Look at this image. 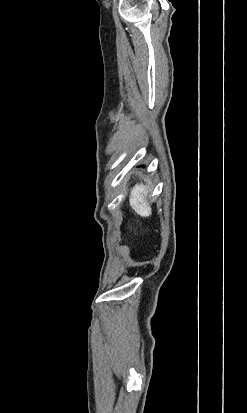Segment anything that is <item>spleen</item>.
I'll return each mask as SVG.
<instances>
[{"label":"spleen","instance_id":"obj_1","mask_svg":"<svg viewBox=\"0 0 247 413\" xmlns=\"http://www.w3.org/2000/svg\"><path fill=\"white\" fill-rule=\"evenodd\" d=\"M130 207L134 209L135 213L145 217L148 213L147 200H146V188L143 184H135L131 188V194L129 196Z\"/></svg>","mask_w":247,"mask_h":413}]
</instances>
